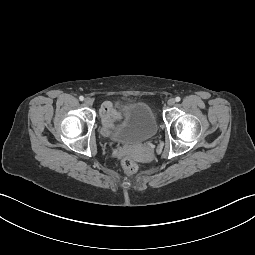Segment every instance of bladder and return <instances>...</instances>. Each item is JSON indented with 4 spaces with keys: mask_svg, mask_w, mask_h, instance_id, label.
Wrapping results in <instances>:
<instances>
[{
    "mask_svg": "<svg viewBox=\"0 0 255 255\" xmlns=\"http://www.w3.org/2000/svg\"><path fill=\"white\" fill-rule=\"evenodd\" d=\"M122 120L109 131V136L117 141L138 142L154 137L159 124L153 109L143 101L120 103Z\"/></svg>",
    "mask_w": 255,
    "mask_h": 255,
    "instance_id": "1",
    "label": "bladder"
}]
</instances>
